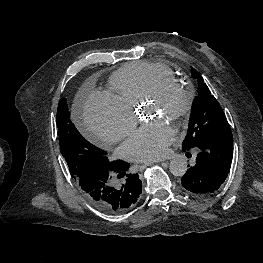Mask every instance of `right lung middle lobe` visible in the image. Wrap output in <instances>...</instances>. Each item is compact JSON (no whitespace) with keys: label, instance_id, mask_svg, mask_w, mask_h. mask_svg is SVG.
<instances>
[{"label":"right lung middle lobe","instance_id":"obj_1","mask_svg":"<svg viewBox=\"0 0 263 263\" xmlns=\"http://www.w3.org/2000/svg\"><path fill=\"white\" fill-rule=\"evenodd\" d=\"M60 151L65 158L71 176L77 181L90 172H102L112 167L107 153L89 143L70 119L67 100L61 99L56 114Z\"/></svg>","mask_w":263,"mask_h":263}]
</instances>
